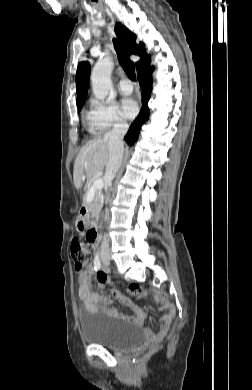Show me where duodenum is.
Returning <instances> with one entry per match:
<instances>
[{"label":"duodenum","instance_id":"1","mask_svg":"<svg viewBox=\"0 0 252 390\" xmlns=\"http://www.w3.org/2000/svg\"><path fill=\"white\" fill-rule=\"evenodd\" d=\"M81 218L83 220L84 223H87L88 222V219H89V210L87 208H83L81 210ZM92 231V234H93V237L91 239V242L94 244L96 241H97V238H98V235H97V231L96 229L93 227L91 229Z\"/></svg>","mask_w":252,"mask_h":390}]
</instances>
